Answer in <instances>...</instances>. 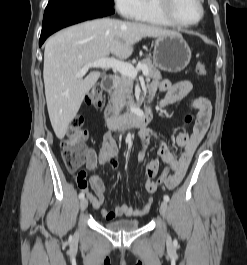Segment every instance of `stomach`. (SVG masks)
<instances>
[{
	"instance_id": "obj_1",
	"label": "stomach",
	"mask_w": 247,
	"mask_h": 265,
	"mask_svg": "<svg viewBox=\"0 0 247 265\" xmlns=\"http://www.w3.org/2000/svg\"><path fill=\"white\" fill-rule=\"evenodd\" d=\"M191 59V49L179 33L157 37L153 64L163 71L177 73L184 70Z\"/></svg>"
}]
</instances>
